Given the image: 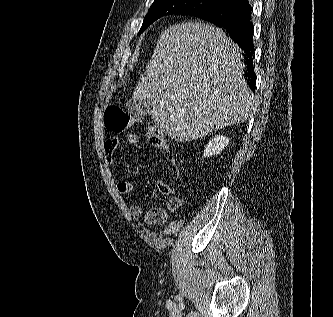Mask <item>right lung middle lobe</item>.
Returning <instances> with one entry per match:
<instances>
[{"label":"right lung middle lobe","instance_id":"dd1d6c3e","mask_svg":"<svg viewBox=\"0 0 333 317\" xmlns=\"http://www.w3.org/2000/svg\"><path fill=\"white\" fill-rule=\"evenodd\" d=\"M229 3L228 0H154L139 33L160 17L173 14L196 15Z\"/></svg>","mask_w":333,"mask_h":317}]
</instances>
